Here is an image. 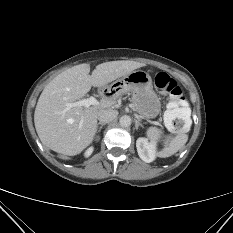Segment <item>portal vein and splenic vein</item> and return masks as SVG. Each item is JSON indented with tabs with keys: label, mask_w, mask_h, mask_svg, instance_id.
<instances>
[{
	"label": "portal vein and splenic vein",
	"mask_w": 233,
	"mask_h": 233,
	"mask_svg": "<svg viewBox=\"0 0 233 233\" xmlns=\"http://www.w3.org/2000/svg\"><path fill=\"white\" fill-rule=\"evenodd\" d=\"M99 104H100V102L95 97L91 96L87 99L79 100L77 102L67 103L66 107H67V109H71L73 107H79V106H83L85 108H88L91 105L98 106Z\"/></svg>",
	"instance_id": "portal-vein-and-splenic-vein-1"
}]
</instances>
